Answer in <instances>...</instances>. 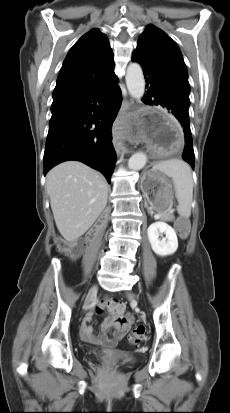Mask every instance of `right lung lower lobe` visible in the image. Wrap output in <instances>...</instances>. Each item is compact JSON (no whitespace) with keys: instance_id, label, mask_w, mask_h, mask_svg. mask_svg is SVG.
I'll list each match as a JSON object with an SVG mask.
<instances>
[{"instance_id":"obj_1","label":"right lung lower lobe","mask_w":230,"mask_h":413,"mask_svg":"<svg viewBox=\"0 0 230 413\" xmlns=\"http://www.w3.org/2000/svg\"><path fill=\"white\" fill-rule=\"evenodd\" d=\"M113 74L84 91L53 98L44 153V175L55 165L78 160L104 174L110 183L116 161L111 128L121 106Z\"/></svg>"}]
</instances>
